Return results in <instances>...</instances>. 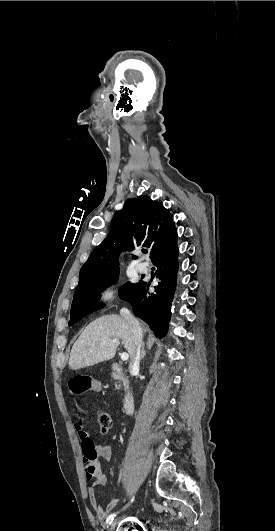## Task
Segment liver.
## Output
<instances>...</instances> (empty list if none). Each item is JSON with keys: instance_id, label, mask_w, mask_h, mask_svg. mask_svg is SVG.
Returning <instances> with one entry per match:
<instances>
[{"instance_id": "obj_1", "label": "liver", "mask_w": 275, "mask_h": 531, "mask_svg": "<svg viewBox=\"0 0 275 531\" xmlns=\"http://www.w3.org/2000/svg\"><path fill=\"white\" fill-rule=\"evenodd\" d=\"M116 339V343H113ZM122 341L124 349L130 355L132 345L131 325L120 315H104L92 321L74 343L71 353L70 369H84L115 357L116 349Z\"/></svg>"}]
</instances>
